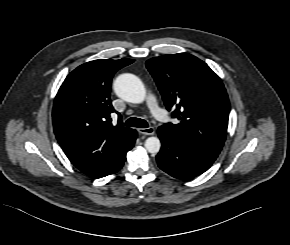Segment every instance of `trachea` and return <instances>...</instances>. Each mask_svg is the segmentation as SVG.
Masks as SVG:
<instances>
[{
  "label": "trachea",
  "mask_w": 290,
  "mask_h": 245,
  "mask_svg": "<svg viewBox=\"0 0 290 245\" xmlns=\"http://www.w3.org/2000/svg\"><path fill=\"white\" fill-rule=\"evenodd\" d=\"M126 126L130 127H138V128H147L148 123L144 119L136 118V117H131L125 122Z\"/></svg>",
  "instance_id": "3493384b"
}]
</instances>
